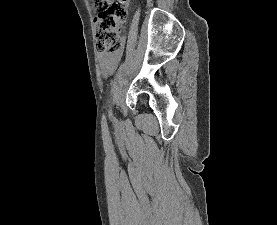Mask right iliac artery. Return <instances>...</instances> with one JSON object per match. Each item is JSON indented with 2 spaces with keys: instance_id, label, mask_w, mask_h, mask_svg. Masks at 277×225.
Masks as SVG:
<instances>
[{
  "instance_id": "obj_1",
  "label": "right iliac artery",
  "mask_w": 277,
  "mask_h": 225,
  "mask_svg": "<svg viewBox=\"0 0 277 225\" xmlns=\"http://www.w3.org/2000/svg\"><path fill=\"white\" fill-rule=\"evenodd\" d=\"M110 116L112 117V113L110 112Z\"/></svg>"
}]
</instances>
